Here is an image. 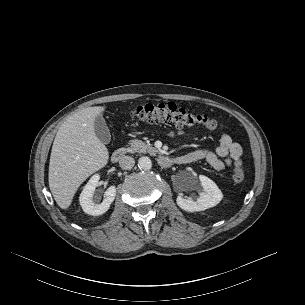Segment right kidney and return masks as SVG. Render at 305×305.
<instances>
[{
  "label": "right kidney",
  "mask_w": 305,
  "mask_h": 305,
  "mask_svg": "<svg viewBox=\"0 0 305 305\" xmlns=\"http://www.w3.org/2000/svg\"><path fill=\"white\" fill-rule=\"evenodd\" d=\"M100 176L95 174L91 177L88 183L84 186L83 191L80 194L79 202L83 211L89 215L98 216L104 214L110 207L111 203L115 199L116 187L110 186L104 194L102 203H95L93 196L98 185Z\"/></svg>",
  "instance_id": "ca27d5eb"
}]
</instances>
